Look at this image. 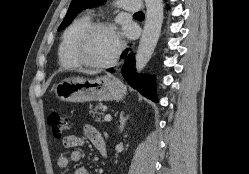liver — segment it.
<instances>
[{"mask_svg":"<svg viewBox=\"0 0 249 174\" xmlns=\"http://www.w3.org/2000/svg\"><path fill=\"white\" fill-rule=\"evenodd\" d=\"M83 73L90 74V75L95 74V72H92V71H84Z\"/></svg>","mask_w":249,"mask_h":174,"instance_id":"liver-1","label":"liver"}]
</instances>
